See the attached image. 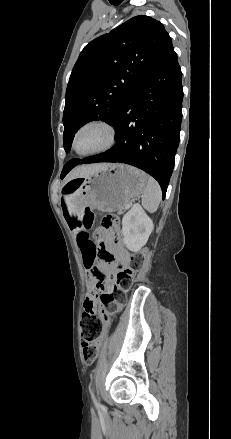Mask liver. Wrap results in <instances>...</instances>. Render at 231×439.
I'll use <instances>...</instances> for the list:
<instances>
[{"instance_id":"obj_1","label":"liver","mask_w":231,"mask_h":439,"mask_svg":"<svg viewBox=\"0 0 231 439\" xmlns=\"http://www.w3.org/2000/svg\"><path fill=\"white\" fill-rule=\"evenodd\" d=\"M110 164L99 163V164H91V165H82L74 168L65 178V183L69 182L72 179L79 177H88L91 174L98 172Z\"/></svg>"}]
</instances>
